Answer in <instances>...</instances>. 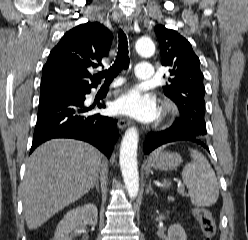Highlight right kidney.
Returning a JSON list of instances; mask_svg holds the SVG:
<instances>
[{
  "label": "right kidney",
  "instance_id": "right-kidney-1",
  "mask_svg": "<svg viewBox=\"0 0 248 240\" xmlns=\"http://www.w3.org/2000/svg\"><path fill=\"white\" fill-rule=\"evenodd\" d=\"M98 210L94 204H86L70 210L59 222L53 240H69L71 232H82L87 224H97Z\"/></svg>",
  "mask_w": 248,
  "mask_h": 240
}]
</instances>
